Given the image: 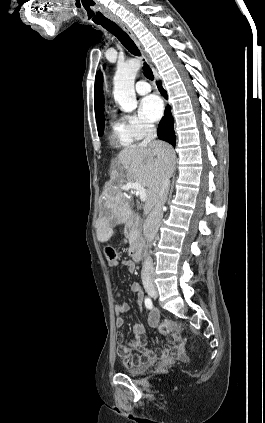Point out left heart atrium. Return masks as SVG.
<instances>
[{"instance_id":"39dd6f15","label":"left heart atrium","mask_w":265,"mask_h":423,"mask_svg":"<svg viewBox=\"0 0 265 423\" xmlns=\"http://www.w3.org/2000/svg\"><path fill=\"white\" fill-rule=\"evenodd\" d=\"M139 107L141 115L151 122L158 121L163 114V102L154 94L142 98Z\"/></svg>"}]
</instances>
